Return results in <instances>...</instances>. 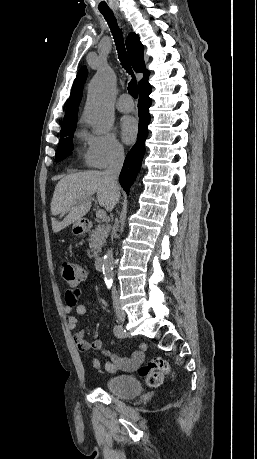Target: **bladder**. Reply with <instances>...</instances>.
Masks as SVG:
<instances>
[{"label": "bladder", "mask_w": 257, "mask_h": 459, "mask_svg": "<svg viewBox=\"0 0 257 459\" xmlns=\"http://www.w3.org/2000/svg\"><path fill=\"white\" fill-rule=\"evenodd\" d=\"M104 389L122 399H130L143 393V387L138 379L127 374L109 377L104 383Z\"/></svg>", "instance_id": "31cf9c89"}]
</instances>
